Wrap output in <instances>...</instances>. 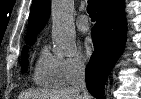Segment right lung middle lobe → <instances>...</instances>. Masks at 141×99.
Segmentation results:
<instances>
[{"label": "right lung middle lobe", "instance_id": "1", "mask_svg": "<svg viewBox=\"0 0 141 99\" xmlns=\"http://www.w3.org/2000/svg\"><path fill=\"white\" fill-rule=\"evenodd\" d=\"M29 45H32L33 43H28ZM27 51H28V47H24L23 50H22V60H21V70L22 71H26L27 70V67H28V54H27Z\"/></svg>", "mask_w": 141, "mask_h": 99}]
</instances>
